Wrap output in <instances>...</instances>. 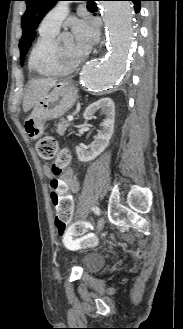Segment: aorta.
<instances>
[{"label": "aorta", "instance_id": "obj_1", "mask_svg": "<svg viewBox=\"0 0 183 329\" xmlns=\"http://www.w3.org/2000/svg\"><path fill=\"white\" fill-rule=\"evenodd\" d=\"M101 8L110 47L103 60L89 63L82 71V85L92 91L114 88L125 69L134 33L130 2L103 1Z\"/></svg>", "mask_w": 183, "mask_h": 329}]
</instances>
